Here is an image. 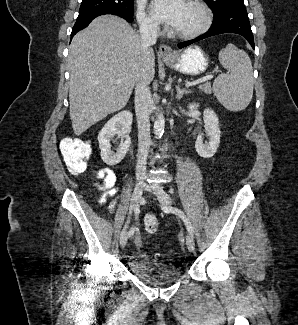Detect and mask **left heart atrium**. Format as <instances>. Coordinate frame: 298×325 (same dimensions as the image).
Returning a JSON list of instances; mask_svg holds the SVG:
<instances>
[{"label": "left heart atrium", "instance_id": "1", "mask_svg": "<svg viewBox=\"0 0 298 325\" xmlns=\"http://www.w3.org/2000/svg\"><path fill=\"white\" fill-rule=\"evenodd\" d=\"M180 0H154L152 3V16L164 25L172 27L177 24L181 13Z\"/></svg>", "mask_w": 298, "mask_h": 325}]
</instances>
